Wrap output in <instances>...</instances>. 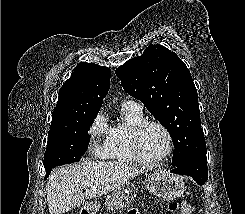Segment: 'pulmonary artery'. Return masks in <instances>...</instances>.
I'll return each instance as SVG.
<instances>
[{
	"label": "pulmonary artery",
	"mask_w": 245,
	"mask_h": 214,
	"mask_svg": "<svg viewBox=\"0 0 245 214\" xmlns=\"http://www.w3.org/2000/svg\"><path fill=\"white\" fill-rule=\"evenodd\" d=\"M125 102H131V103L137 105L139 108H142V104L140 102L133 100L131 98H126Z\"/></svg>",
	"instance_id": "pulmonary-artery-1"
}]
</instances>
